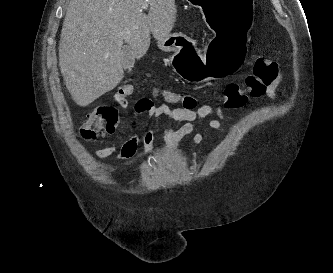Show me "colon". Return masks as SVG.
<instances>
[{
	"mask_svg": "<svg viewBox=\"0 0 333 273\" xmlns=\"http://www.w3.org/2000/svg\"><path fill=\"white\" fill-rule=\"evenodd\" d=\"M278 70L277 63L271 56H260L256 59L253 71L242 84L227 85L222 96L215 102L229 109L244 106L249 97L262 96L267 86L274 80ZM135 91L132 78L126 79L118 89V94L128 97ZM166 102L179 104L185 109H193L200 98L191 93H177L170 90L156 91ZM118 123V113L111 106L101 105L91 111L81 126L80 133L86 140H96L106 133L112 132Z\"/></svg>",
	"mask_w": 333,
	"mask_h": 273,
	"instance_id": "obj_1",
	"label": "colon"
}]
</instances>
